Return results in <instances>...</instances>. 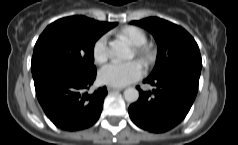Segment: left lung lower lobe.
<instances>
[{
	"label": "left lung lower lobe",
	"instance_id": "obj_1",
	"mask_svg": "<svg viewBox=\"0 0 238 145\" xmlns=\"http://www.w3.org/2000/svg\"><path fill=\"white\" fill-rule=\"evenodd\" d=\"M200 69H185L157 77H148L144 82L155 86L151 92L140 90L137 102L128 112L132 121L150 132H165L178 125L189 112L197 91Z\"/></svg>",
	"mask_w": 238,
	"mask_h": 145
}]
</instances>
